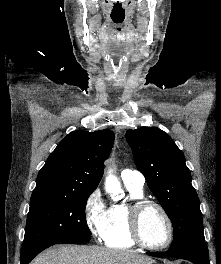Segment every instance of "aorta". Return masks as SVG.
Instances as JSON below:
<instances>
[{
  "mask_svg": "<svg viewBox=\"0 0 221 264\" xmlns=\"http://www.w3.org/2000/svg\"><path fill=\"white\" fill-rule=\"evenodd\" d=\"M120 188V183L115 175H113V169H109L108 175L105 179V189L107 192H112Z\"/></svg>",
  "mask_w": 221,
  "mask_h": 264,
  "instance_id": "762f6f07",
  "label": "aorta"
}]
</instances>
